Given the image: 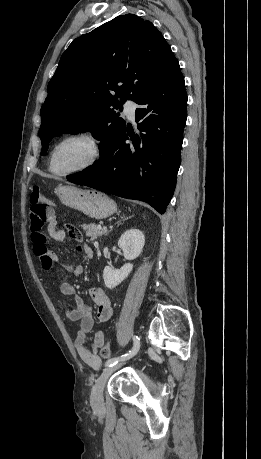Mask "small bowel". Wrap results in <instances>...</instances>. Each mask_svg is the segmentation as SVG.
<instances>
[{"instance_id":"1","label":"small bowel","mask_w":261,"mask_h":459,"mask_svg":"<svg viewBox=\"0 0 261 459\" xmlns=\"http://www.w3.org/2000/svg\"><path fill=\"white\" fill-rule=\"evenodd\" d=\"M47 232L49 237L56 242H63L68 234L79 243L77 250L82 254L84 259L90 260L93 257L91 247L87 244H81L82 236L80 235V237L75 238L71 236L68 229L57 228L55 219L48 223ZM31 241L34 254L39 258L41 267L48 272L54 271L60 265V261L58 256L49 249L48 237L45 235L44 238H35L34 234H31ZM64 267L74 276H79L83 272L82 264L64 265ZM60 290L64 295L74 297L75 306L66 311V317L68 320L78 322L80 325V330L74 340L76 351L84 363L94 369H99L102 360L97 354V349L104 344L105 333L101 330L97 331L94 335L92 349L86 346L87 334L94 326L92 306L77 292L74 284L68 281H61ZM88 295L95 306L97 319L101 323L109 322L113 315V309L105 291L101 288H92L88 290Z\"/></svg>"}]
</instances>
